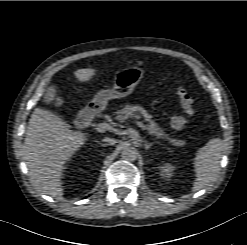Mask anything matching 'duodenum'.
Wrapping results in <instances>:
<instances>
[{
	"label": "duodenum",
	"instance_id": "1",
	"mask_svg": "<svg viewBox=\"0 0 247 245\" xmlns=\"http://www.w3.org/2000/svg\"><path fill=\"white\" fill-rule=\"evenodd\" d=\"M95 115L96 109L94 107L85 108L79 113V121L83 126H88L92 123Z\"/></svg>",
	"mask_w": 247,
	"mask_h": 245
}]
</instances>
